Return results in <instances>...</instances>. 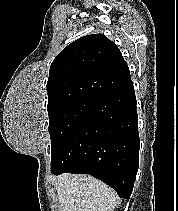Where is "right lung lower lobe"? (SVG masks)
<instances>
[{
  "mask_svg": "<svg viewBox=\"0 0 178 211\" xmlns=\"http://www.w3.org/2000/svg\"><path fill=\"white\" fill-rule=\"evenodd\" d=\"M139 163L133 82L101 97L51 155V172L90 174L129 199Z\"/></svg>",
  "mask_w": 178,
  "mask_h": 211,
  "instance_id": "98d812e1",
  "label": "right lung lower lobe"
}]
</instances>
